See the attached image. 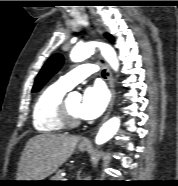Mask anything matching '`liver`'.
<instances>
[{"instance_id":"liver-1","label":"liver","mask_w":178,"mask_h":186,"mask_svg":"<svg viewBox=\"0 0 178 186\" xmlns=\"http://www.w3.org/2000/svg\"><path fill=\"white\" fill-rule=\"evenodd\" d=\"M80 137L66 134H39L32 137L18 165L19 181H39L53 174L73 154Z\"/></svg>"}]
</instances>
